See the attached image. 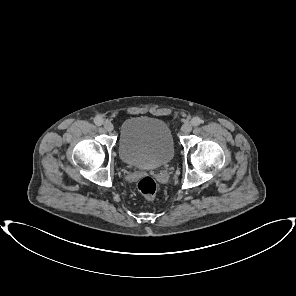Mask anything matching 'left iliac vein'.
Returning a JSON list of instances; mask_svg holds the SVG:
<instances>
[{"label":"left iliac vein","mask_w":296,"mask_h":296,"mask_svg":"<svg viewBox=\"0 0 296 296\" xmlns=\"http://www.w3.org/2000/svg\"><path fill=\"white\" fill-rule=\"evenodd\" d=\"M191 130H192V124L189 123V122L185 123V124L182 126V128H181V131H182V133H184V134L189 133Z\"/></svg>","instance_id":"4c4485c4"}]
</instances>
